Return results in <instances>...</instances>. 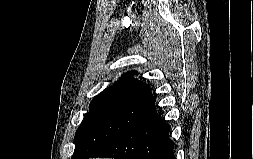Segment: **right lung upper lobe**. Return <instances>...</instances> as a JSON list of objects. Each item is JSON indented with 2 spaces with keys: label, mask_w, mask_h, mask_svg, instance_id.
Returning a JSON list of instances; mask_svg holds the SVG:
<instances>
[{
  "label": "right lung upper lobe",
  "mask_w": 253,
  "mask_h": 159,
  "mask_svg": "<svg viewBox=\"0 0 253 159\" xmlns=\"http://www.w3.org/2000/svg\"><path fill=\"white\" fill-rule=\"evenodd\" d=\"M134 73L135 72H129L124 74L116 84L107 87L95 98L124 97L154 104L155 98L152 96L149 85L137 79H133L132 76Z\"/></svg>",
  "instance_id": "1"
}]
</instances>
